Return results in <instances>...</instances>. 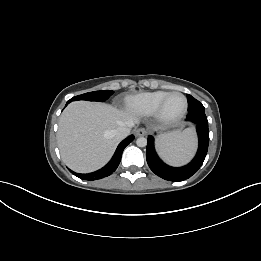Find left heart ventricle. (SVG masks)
I'll list each match as a JSON object with an SVG mask.
<instances>
[{
    "mask_svg": "<svg viewBox=\"0 0 261 261\" xmlns=\"http://www.w3.org/2000/svg\"><path fill=\"white\" fill-rule=\"evenodd\" d=\"M184 107V100L180 95H172L166 101L164 106V113L169 117L178 115Z\"/></svg>",
    "mask_w": 261,
    "mask_h": 261,
    "instance_id": "obj_1",
    "label": "left heart ventricle"
}]
</instances>
